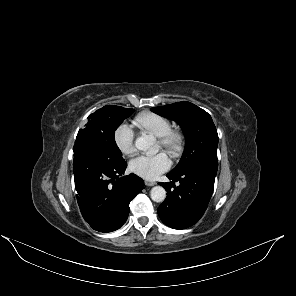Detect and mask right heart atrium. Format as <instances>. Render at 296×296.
Wrapping results in <instances>:
<instances>
[{
    "label": "right heart atrium",
    "mask_w": 296,
    "mask_h": 296,
    "mask_svg": "<svg viewBox=\"0 0 296 296\" xmlns=\"http://www.w3.org/2000/svg\"><path fill=\"white\" fill-rule=\"evenodd\" d=\"M113 140L116 148L123 155H133L135 149V133L130 125L123 123L114 131Z\"/></svg>",
    "instance_id": "right-heart-atrium-1"
}]
</instances>
